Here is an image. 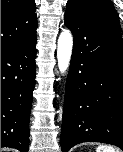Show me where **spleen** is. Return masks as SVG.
<instances>
[{"instance_id": "3e777b00", "label": "spleen", "mask_w": 123, "mask_h": 152, "mask_svg": "<svg viewBox=\"0 0 123 152\" xmlns=\"http://www.w3.org/2000/svg\"><path fill=\"white\" fill-rule=\"evenodd\" d=\"M96 152H120L118 149H115L113 146L100 145L97 147Z\"/></svg>"}]
</instances>
